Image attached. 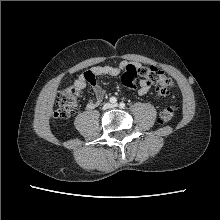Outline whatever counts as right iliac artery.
<instances>
[{
  "label": "right iliac artery",
  "mask_w": 220,
  "mask_h": 220,
  "mask_svg": "<svg viewBox=\"0 0 220 220\" xmlns=\"http://www.w3.org/2000/svg\"><path fill=\"white\" fill-rule=\"evenodd\" d=\"M110 102H111V103H116V102H117V99H116L115 97H111V98H110Z\"/></svg>",
  "instance_id": "82829eb1"
}]
</instances>
